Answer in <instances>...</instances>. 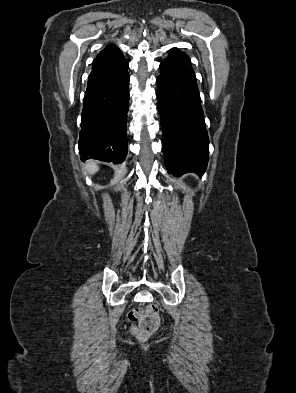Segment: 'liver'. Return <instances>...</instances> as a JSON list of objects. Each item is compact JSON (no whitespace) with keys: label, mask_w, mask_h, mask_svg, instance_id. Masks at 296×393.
<instances>
[{"label":"liver","mask_w":296,"mask_h":393,"mask_svg":"<svg viewBox=\"0 0 296 393\" xmlns=\"http://www.w3.org/2000/svg\"><path fill=\"white\" fill-rule=\"evenodd\" d=\"M85 168L87 169V171H88L89 174H94V173H96V172L98 171V169H99V167L97 166V164H96L95 162H93V161L88 162V163L85 165Z\"/></svg>","instance_id":"1"}]
</instances>
